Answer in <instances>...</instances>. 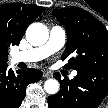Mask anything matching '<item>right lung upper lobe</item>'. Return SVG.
I'll return each mask as SVG.
<instances>
[{
  "instance_id": "obj_1",
  "label": "right lung upper lobe",
  "mask_w": 108,
  "mask_h": 108,
  "mask_svg": "<svg viewBox=\"0 0 108 108\" xmlns=\"http://www.w3.org/2000/svg\"><path fill=\"white\" fill-rule=\"evenodd\" d=\"M42 7L6 3L0 5V65L7 64L8 48L18 45L26 28L39 16Z\"/></svg>"
}]
</instances>
